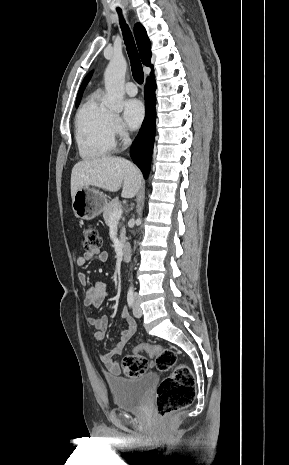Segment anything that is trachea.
Wrapping results in <instances>:
<instances>
[{
	"instance_id": "1",
	"label": "trachea",
	"mask_w": 289,
	"mask_h": 465,
	"mask_svg": "<svg viewBox=\"0 0 289 465\" xmlns=\"http://www.w3.org/2000/svg\"><path fill=\"white\" fill-rule=\"evenodd\" d=\"M117 12L120 16V25H121V29L123 33V39L125 41L126 49L128 52L130 63H131V70H132L133 78L138 84H142L144 80V73H143L142 64L140 61V57H139L132 33L129 30L124 19L122 18L121 10H117Z\"/></svg>"
}]
</instances>
